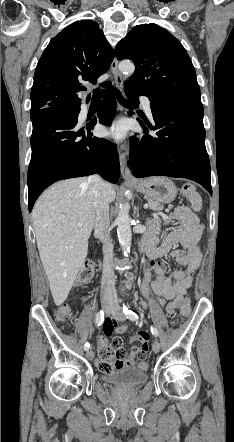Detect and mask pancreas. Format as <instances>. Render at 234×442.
<instances>
[{
    "instance_id": "1",
    "label": "pancreas",
    "mask_w": 234,
    "mask_h": 442,
    "mask_svg": "<svg viewBox=\"0 0 234 442\" xmlns=\"http://www.w3.org/2000/svg\"><path fill=\"white\" fill-rule=\"evenodd\" d=\"M148 206L154 211H161L164 208L162 203L153 199H148Z\"/></svg>"
}]
</instances>
